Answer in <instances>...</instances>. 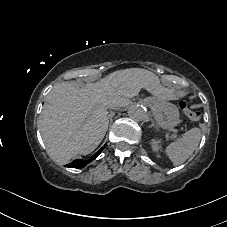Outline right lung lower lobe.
<instances>
[{
	"instance_id": "1",
	"label": "right lung lower lobe",
	"mask_w": 227,
	"mask_h": 227,
	"mask_svg": "<svg viewBox=\"0 0 227 227\" xmlns=\"http://www.w3.org/2000/svg\"><path fill=\"white\" fill-rule=\"evenodd\" d=\"M104 148H101L98 152H96L90 159L88 160H82V159H76L71 164L67 165L68 167L72 168H82L86 166L89 162L93 161L103 150Z\"/></svg>"
}]
</instances>
